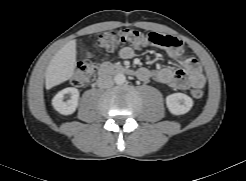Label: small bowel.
Returning a JSON list of instances; mask_svg holds the SVG:
<instances>
[{
	"label": "small bowel",
	"instance_id": "c3829d8e",
	"mask_svg": "<svg viewBox=\"0 0 246 181\" xmlns=\"http://www.w3.org/2000/svg\"><path fill=\"white\" fill-rule=\"evenodd\" d=\"M168 56L178 63L179 67H164L157 70L139 68L137 77L143 81L153 80L160 84L167 85L176 89H187L191 86L203 87L205 77L199 62L192 56H189L180 42L175 48H165ZM119 55L123 59H131L135 51L130 46H124L120 49Z\"/></svg>",
	"mask_w": 246,
	"mask_h": 181
}]
</instances>
